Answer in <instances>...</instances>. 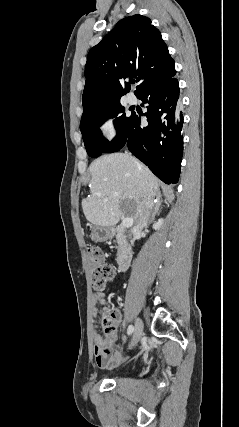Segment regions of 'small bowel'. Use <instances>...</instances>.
Here are the masks:
<instances>
[{"label": "small bowel", "instance_id": "1", "mask_svg": "<svg viewBox=\"0 0 239 427\" xmlns=\"http://www.w3.org/2000/svg\"><path fill=\"white\" fill-rule=\"evenodd\" d=\"M104 301V294L103 293H96L93 296V302L94 304H102ZM115 327L117 330H122L120 327V313L119 311L115 310L112 312ZM116 335L112 334L110 338L109 344L106 346L104 339L101 337L98 325L95 322V328H94V340H95V362L98 367L100 368H113L122 362H124L125 357L121 355L120 353L113 354V345L115 342ZM123 340H125V337H123Z\"/></svg>", "mask_w": 239, "mask_h": 427}]
</instances>
